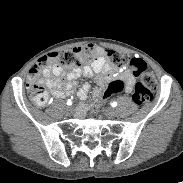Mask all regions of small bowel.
Listing matches in <instances>:
<instances>
[{"label":"small bowel","mask_w":183,"mask_h":183,"mask_svg":"<svg viewBox=\"0 0 183 183\" xmlns=\"http://www.w3.org/2000/svg\"><path fill=\"white\" fill-rule=\"evenodd\" d=\"M100 51V54L92 61L90 65L77 67L69 71L64 70L58 65H53L52 67L45 69V75L52 74L56 77H63L66 80L59 81L53 78H49L47 80V85L52 89L53 95L55 97H65L71 95L77 88V79L81 76H95L96 83L99 85L100 88H103L105 86L108 87L112 79L121 77L126 82V92H131L135 84V77L133 71L127 70L121 73L120 75H117L103 56V51L101 49ZM100 88H96L94 90L95 98H98L100 96ZM89 90L90 85L88 83H84L81 85V87L78 90V97L81 101H84L86 99Z\"/></svg>","instance_id":"c3829d8e"}]
</instances>
